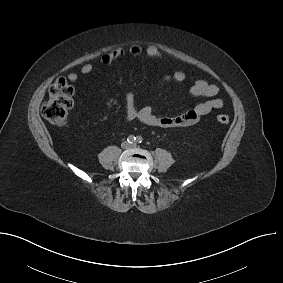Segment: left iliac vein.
Instances as JSON below:
<instances>
[{
    "label": "left iliac vein",
    "mask_w": 283,
    "mask_h": 283,
    "mask_svg": "<svg viewBox=\"0 0 283 283\" xmlns=\"http://www.w3.org/2000/svg\"><path fill=\"white\" fill-rule=\"evenodd\" d=\"M131 147H136V145H135V144H132Z\"/></svg>",
    "instance_id": "4c4485c4"
}]
</instances>
